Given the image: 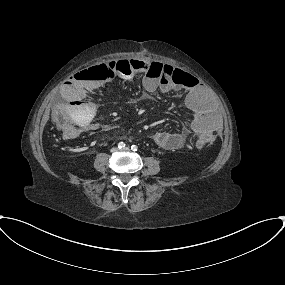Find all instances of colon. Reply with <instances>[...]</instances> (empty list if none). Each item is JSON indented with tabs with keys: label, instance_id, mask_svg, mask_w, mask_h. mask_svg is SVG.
Returning <instances> with one entry per match:
<instances>
[{
	"label": "colon",
	"instance_id": "1",
	"mask_svg": "<svg viewBox=\"0 0 285 285\" xmlns=\"http://www.w3.org/2000/svg\"><path fill=\"white\" fill-rule=\"evenodd\" d=\"M139 73H145L149 77L158 80L167 87L186 84V76L178 69L164 66L161 63L153 62L148 68L142 62L136 60H117L101 64L83 70L79 76L85 80L103 79L107 75L123 76L130 78ZM91 117L82 119L83 124L89 123ZM52 122L57 130L63 134L75 132L76 126L72 123L70 114L63 106L57 107L52 114ZM200 142L203 145L212 143V137L209 134L202 135Z\"/></svg>",
	"mask_w": 285,
	"mask_h": 285
}]
</instances>
